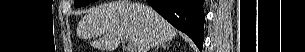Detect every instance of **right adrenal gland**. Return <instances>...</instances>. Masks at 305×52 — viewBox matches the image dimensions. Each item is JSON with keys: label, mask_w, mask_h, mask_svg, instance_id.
Wrapping results in <instances>:
<instances>
[{"label": "right adrenal gland", "mask_w": 305, "mask_h": 52, "mask_svg": "<svg viewBox=\"0 0 305 52\" xmlns=\"http://www.w3.org/2000/svg\"><path fill=\"white\" fill-rule=\"evenodd\" d=\"M169 46V43H162V44H159V45H156V47L153 49V52L157 51L159 48H168Z\"/></svg>", "instance_id": "1"}]
</instances>
